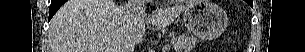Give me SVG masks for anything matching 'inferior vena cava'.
I'll list each match as a JSON object with an SVG mask.
<instances>
[{"label": "inferior vena cava", "instance_id": "1", "mask_svg": "<svg viewBox=\"0 0 305 52\" xmlns=\"http://www.w3.org/2000/svg\"><path fill=\"white\" fill-rule=\"evenodd\" d=\"M124 12L128 19H134L137 14L145 12V0H128L124 6ZM135 43L130 39L120 42L118 52H134Z\"/></svg>", "mask_w": 305, "mask_h": 52}]
</instances>
